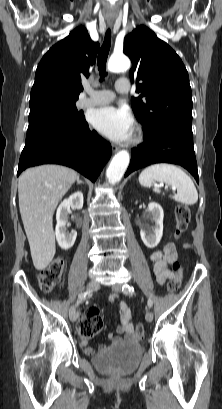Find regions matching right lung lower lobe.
Listing matches in <instances>:
<instances>
[{
    "mask_svg": "<svg viewBox=\"0 0 222 409\" xmlns=\"http://www.w3.org/2000/svg\"><path fill=\"white\" fill-rule=\"evenodd\" d=\"M111 151V145L86 121L63 130L44 127L26 136L17 176L28 167L53 163L72 167L95 182Z\"/></svg>",
    "mask_w": 222,
    "mask_h": 409,
    "instance_id": "98d812e1",
    "label": "right lung lower lobe"
}]
</instances>
